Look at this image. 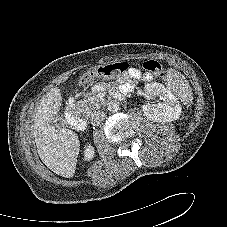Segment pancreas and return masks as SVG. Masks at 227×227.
<instances>
[{
  "label": "pancreas",
  "instance_id": "cf45deb5",
  "mask_svg": "<svg viewBox=\"0 0 227 227\" xmlns=\"http://www.w3.org/2000/svg\"><path fill=\"white\" fill-rule=\"evenodd\" d=\"M77 109L80 110L81 112L88 114L92 112L95 108H97V104H93L87 100L84 101H79L77 104Z\"/></svg>",
  "mask_w": 227,
  "mask_h": 227
}]
</instances>
